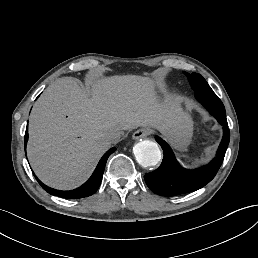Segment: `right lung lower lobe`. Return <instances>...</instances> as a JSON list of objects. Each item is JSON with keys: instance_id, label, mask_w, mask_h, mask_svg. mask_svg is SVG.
Listing matches in <instances>:
<instances>
[{"instance_id": "obj_1", "label": "right lung lower lobe", "mask_w": 258, "mask_h": 258, "mask_svg": "<svg viewBox=\"0 0 258 258\" xmlns=\"http://www.w3.org/2000/svg\"><path fill=\"white\" fill-rule=\"evenodd\" d=\"M27 140H28V129L26 128L25 141H24L25 149H26ZM115 150H116L115 147L109 149L99 161L95 171L93 172L92 176L88 179V181L84 183L81 187L71 191H60V190L50 188L45 184H43L35 175L34 176L36 180L39 182V184L43 187V189H45L51 195L59 196L65 199H78V198L87 197L94 194L99 188L102 181V176H103L107 159L110 156V154H112Z\"/></svg>"}]
</instances>
